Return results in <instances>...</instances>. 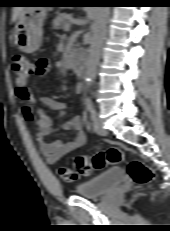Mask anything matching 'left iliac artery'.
<instances>
[{
	"label": "left iliac artery",
	"instance_id": "obj_1",
	"mask_svg": "<svg viewBox=\"0 0 170 231\" xmlns=\"http://www.w3.org/2000/svg\"><path fill=\"white\" fill-rule=\"evenodd\" d=\"M85 106L86 109L88 110L90 117L92 120H94L97 117V113L95 111V108L93 106L92 100L89 96L85 98Z\"/></svg>",
	"mask_w": 170,
	"mask_h": 231
}]
</instances>
